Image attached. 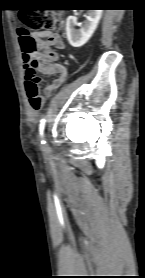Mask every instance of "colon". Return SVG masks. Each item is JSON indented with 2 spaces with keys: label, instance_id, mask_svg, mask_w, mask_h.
<instances>
[{
  "label": "colon",
  "instance_id": "1",
  "mask_svg": "<svg viewBox=\"0 0 145 278\" xmlns=\"http://www.w3.org/2000/svg\"><path fill=\"white\" fill-rule=\"evenodd\" d=\"M20 24L17 28L20 49L24 60L30 62L24 72L25 90L30 108L34 111H39L43 107V98L39 88L40 79L34 70V66L41 59L54 62L56 60V52L49 46H41L27 32H53L59 28L60 21L55 14L27 10L21 12Z\"/></svg>",
  "mask_w": 145,
  "mask_h": 278
}]
</instances>
